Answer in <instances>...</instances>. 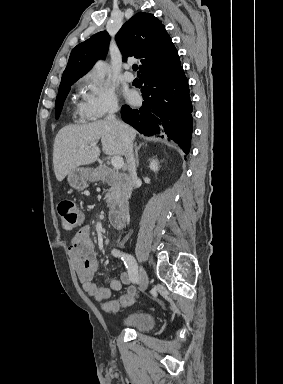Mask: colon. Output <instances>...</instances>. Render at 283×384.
I'll list each match as a JSON object with an SVG mask.
<instances>
[{
	"label": "colon",
	"instance_id": "colon-1",
	"mask_svg": "<svg viewBox=\"0 0 283 384\" xmlns=\"http://www.w3.org/2000/svg\"><path fill=\"white\" fill-rule=\"evenodd\" d=\"M58 213L61 225L65 231H73L83 223V214L72 199H63L58 204ZM135 301V291L128 289L119 300L109 301L103 304V310L107 313L118 311L122 307H128Z\"/></svg>",
	"mask_w": 283,
	"mask_h": 384
}]
</instances>
